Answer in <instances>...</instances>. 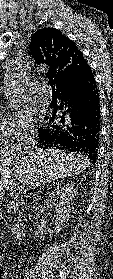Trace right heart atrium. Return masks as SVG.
<instances>
[{"instance_id":"obj_1","label":"right heart atrium","mask_w":113,"mask_h":279,"mask_svg":"<svg viewBox=\"0 0 113 279\" xmlns=\"http://www.w3.org/2000/svg\"><path fill=\"white\" fill-rule=\"evenodd\" d=\"M8 137L11 141H19L35 132L33 112L29 108H17L4 117Z\"/></svg>"}]
</instances>
